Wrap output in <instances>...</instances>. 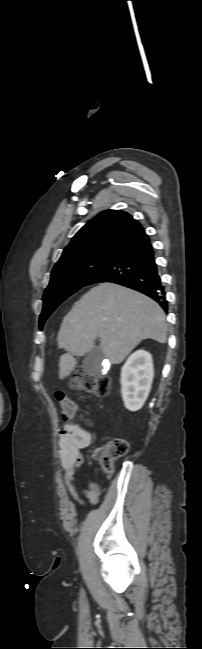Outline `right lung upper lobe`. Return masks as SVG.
<instances>
[{"label": "right lung upper lobe", "instance_id": "1", "mask_svg": "<svg viewBox=\"0 0 202 649\" xmlns=\"http://www.w3.org/2000/svg\"><path fill=\"white\" fill-rule=\"evenodd\" d=\"M147 237L133 217L120 210H105L88 221L72 238L60 258L84 252L104 251L117 254Z\"/></svg>", "mask_w": 202, "mask_h": 649}]
</instances>
